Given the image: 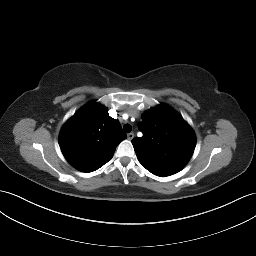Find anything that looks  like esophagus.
I'll return each mask as SVG.
<instances>
[{"label": "esophagus", "instance_id": "1", "mask_svg": "<svg viewBox=\"0 0 256 256\" xmlns=\"http://www.w3.org/2000/svg\"><path fill=\"white\" fill-rule=\"evenodd\" d=\"M127 138H128L129 140H132V139L134 138V133H129V134L127 135Z\"/></svg>", "mask_w": 256, "mask_h": 256}]
</instances>
